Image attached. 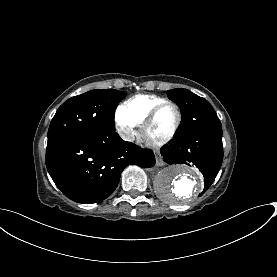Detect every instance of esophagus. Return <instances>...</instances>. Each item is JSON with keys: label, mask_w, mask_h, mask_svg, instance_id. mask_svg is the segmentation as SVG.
<instances>
[{"label": "esophagus", "mask_w": 277, "mask_h": 277, "mask_svg": "<svg viewBox=\"0 0 277 277\" xmlns=\"http://www.w3.org/2000/svg\"><path fill=\"white\" fill-rule=\"evenodd\" d=\"M156 165L157 166H163L164 165V162H163L162 158H157Z\"/></svg>", "instance_id": "34e87169"}]
</instances>
